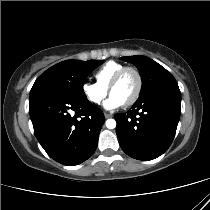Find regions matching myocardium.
<instances>
[{"instance_id":"1","label":"myocardium","mask_w":210,"mask_h":210,"mask_svg":"<svg viewBox=\"0 0 210 210\" xmlns=\"http://www.w3.org/2000/svg\"><path fill=\"white\" fill-rule=\"evenodd\" d=\"M127 72H133L136 75L138 80V85L135 94L127 102L124 103V106L126 107L135 104L141 96L143 90V77L140 71L135 67L125 66L115 74L108 87V91L111 94L112 89L121 81L122 77Z\"/></svg>"}]
</instances>
